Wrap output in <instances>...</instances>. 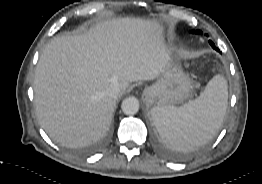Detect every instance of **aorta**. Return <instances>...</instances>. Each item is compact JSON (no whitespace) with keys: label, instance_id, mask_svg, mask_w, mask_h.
I'll return each instance as SVG.
<instances>
[{"label":"aorta","instance_id":"aorta-1","mask_svg":"<svg viewBox=\"0 0 262 184\" xmlns=\"http://www.w3.org/2000/svg\"><path fill=\"white\" fill-rule=\"evenodd\" d=\"M121 108L126 115L136 114L139 110V101L136 97H127L122 101Z\"/></svg>","mask_w":262,"mask_h":184}]
</instances>
